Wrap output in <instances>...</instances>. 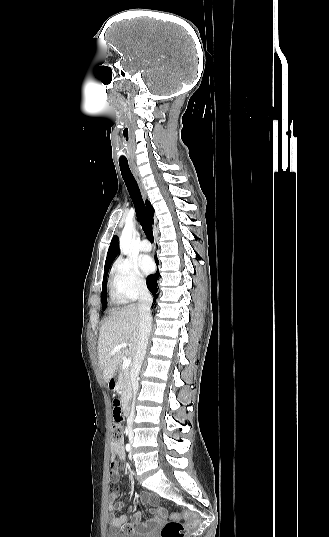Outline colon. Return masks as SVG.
<instances>
[{
  "label": "colon",
  "mask_w": 329,
  "mask_h": 537,
  "mask_svg": "<svg viewBox=\"0 0 329 537\" xmlns=\"http://www.w3.org/2000/svg\"><path fill=\"white\" fill-rule=\"evenodd\" d=\"M117 401L114 400L113 404ZM113 413V412H112ZM123 438V427L121 423H114L111 429V440L112 443H118L122 441ZM171 520L168 521L161 530V537H184L188 527H194L197 524V520L200 516V513L196 509H185V510H173L170 513ZM185 519L190 520L189 523L185 524L179 520Z\"/></svg>",
  "instance_id": "1"
}]
</instances>
